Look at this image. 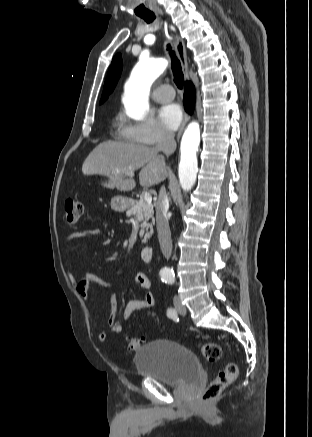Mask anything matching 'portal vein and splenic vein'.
Masks as SVG:
<instances>
[{
	"instance_id": "18ae733b",
	"label": "portal vein and splenic vein",
	"mask_w": 312,
	"mask_h": 437,
	"mask_svg": "<svg viewBox=\"0 0 312 437\" xmlns=\"http://www.w3.org/2000/svg\"><path fill=\"white\" fill-rule=\"evenodd\" d=\"M128 176L133 177L134 176V172H128L127 173ZM142 197L143 199L147 202V203H151L152 202V196L150 195V193L148 192H143L142 193Z\"/></svg>"
}]
</instances>
